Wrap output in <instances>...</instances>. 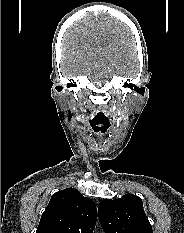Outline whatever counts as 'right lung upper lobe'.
Segmentation results:
<instances>
[{
	"instance_id": "cb5924a9",
	"label": "right lung upper lobe",
	"mask_w": 184,
	"mask_h": 233,
	"mask_svg": "<svg viewBox=\"0 0 184 233\" xmlns=\"http://www.w3.org/2000/svg\"><path fill=\"white\" fill-rule=\"evenodd\" d=\"M96 220L95 203L67 188L52 195L36 233H93Z\"/></svg>"
}]
</instances>
